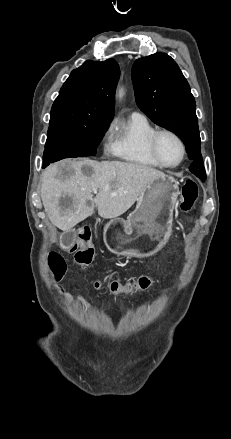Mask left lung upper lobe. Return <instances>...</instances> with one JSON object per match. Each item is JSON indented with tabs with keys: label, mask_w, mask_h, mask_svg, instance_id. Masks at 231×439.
<instances>
[{
	"label": "left lung upper lobe",
	"mask_w": 231,
	"mask_h": 439,
	"mask_svg": "<svg viewBox=\"0 0 231 439\" xmlns=\"http://www.w3.org/2000/svg\"><path fill=\"white\" fill-rule=\"evenodd\" d=\"M132 80L139 108L182 139L192 160L189 170L204 181L196 103L176 62L160 52L140 58L133 64Z\"/></svg>",
	"instance_id": "obj_1"
}]
</instances>
